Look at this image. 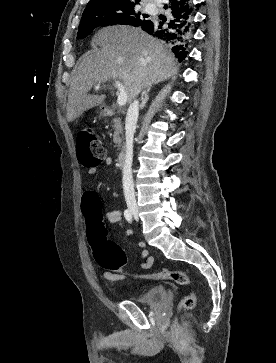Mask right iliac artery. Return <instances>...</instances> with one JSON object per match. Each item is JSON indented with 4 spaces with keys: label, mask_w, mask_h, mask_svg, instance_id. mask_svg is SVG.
I'll return each mask as SVG.
<instances>
[{
    "label": "right iliac artery",
    "mask_w": 276,
    "mask_h": 363,
    "mask_svg": "<svg viewBox=\"0 0 276 363\" xmlns=\"http://www.w3.org/2000/svg\"><path fill=\"white\" fill-rule=\"evenodd\" d=\"M124 217L128 222H132V215L129 210L126 209L124 211Z\"/></svg>",
    "instance_id": "obj_1"
}]
</instances>
